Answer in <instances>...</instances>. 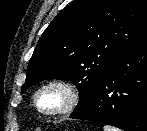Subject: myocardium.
<instances>
[{
  "instance_id": "obj_1",
  "label": "myocardium",
  "mask_w": 147,
  "mask_h": 131,
  "mask_svg": "<svg viewBox=\"0 0 147 131\" xmlns=\"http://www.w3.org/2000/svg\"><path fill=\"white\" fill-rule=\"evenodd\" d=\"M58 89L64 95V102L61 107L55 110L46 111L39 107L38 97L42 92L48 89ZM81 100V92L78 86L71 80L66 78H53L43 82L37 87L32 95V103L35 110L45 117H58L72 113Z\"/></svg>"
}]
</instances>
